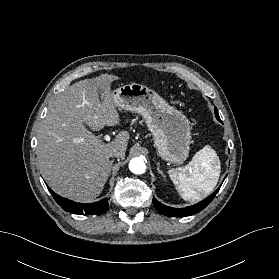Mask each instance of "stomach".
Returning <instances> with one entry per match:
<instances>
[{"label": "stomach", "instance_id": "1", "mask_svg": "<svg viewBox=\"0 0 279 279\" xmlns=\"http://www.w3.org/2000/svg\"><path fill=\"white\" fill-rule=\"evenodd\" d=\"M112 94L118 108L142 115L163 160L175 164L186 160L191 131L189 121L181 111L170 106L149 87L138 83L123 85Z\"/></svg>", "mask_w": 279, "mask_h": 279}]
</instances>
